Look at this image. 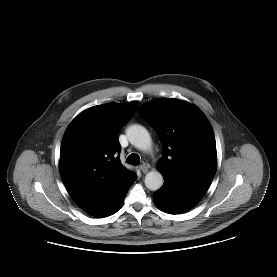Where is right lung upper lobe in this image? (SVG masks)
<instances>
[{
	"mask_svg": "<svg viewBox=\"0 0 277 277\" xmlns=\"http://www.w3.org/2000/svg\"><path fill=\"white\" fill-rule=\"evenodd\" d=\"M137 106L135 101L93 106L66 129L59 170L69 195L82 209L100 204L133 174L120 162L118 132Z\"/></svg>",
	"mask_w": 277,
	"mask_h": 277,
	"instance_id": "1",
	"label": "right lung upper lobe"
}]
</instances>
